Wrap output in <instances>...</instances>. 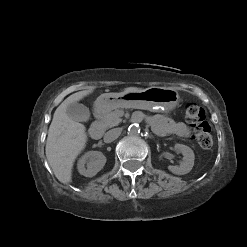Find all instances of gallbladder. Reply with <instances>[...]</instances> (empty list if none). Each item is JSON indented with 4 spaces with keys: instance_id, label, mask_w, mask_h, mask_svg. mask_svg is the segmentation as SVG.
<instances>
[{
    "instance_id": "bac80fb5",
    "label": "gallbladder",
    "mask_w": 247,
    "mask_h": 247,
    "mask_svg": "<svg viewBox=\"0 0 247 247\" xmlns=\"http://www.w3.org/2000/svg\"><path fill=\"white\" fill-rule=\"evenodd\" d=\"M67 115L74 121L86 122L90 118L89 109L80 103L74 102L67 106Z\"/></svg>"
}]
</instances>
